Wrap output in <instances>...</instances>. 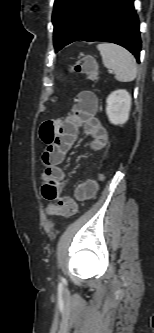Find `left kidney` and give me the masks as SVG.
<instances>
[{
    "mask_svg": "<svg viewBox=\"0 0 154 333\" xmlns=\"http://www.w3.org/2000/svg\"><path fill=\"white\" fill-rule=\"evenodd\" d=\"M106 114L114 125H122L129 119L131 96L123 89L112 92L106 100Z\"/></svg>",
    "mask_w": 154,
    "mask_h": 333,
    "instance_id": "left-kidney-1",
    "label": "left kidney"
}]
</instances>
